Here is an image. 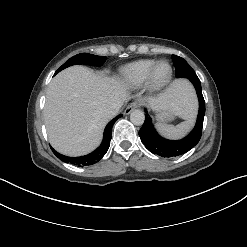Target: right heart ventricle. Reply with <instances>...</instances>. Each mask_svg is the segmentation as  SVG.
Returning <instances> with one entry per match:
<instances>
[{"label":"right heart ventricle","mask_w":247,"mask_h":247,"mask_svg":"<svg viewBox=\"0 0 247 247\" xmlns=\"http://www.w3.org/2000/svg\"><path fill=\"white\" fill-rule=\"evenodd\" d=\"M156 62L155 59H141L124 66L120 71L121 83L130 88L143 85Z\"/></svg>","instance_id":"1"}]
</instances>
